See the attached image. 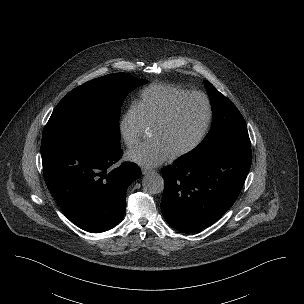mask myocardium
I'll return each instance as SVG.
<instances>
[{
	"label": "myocardium",
	"instance_id": "1",
	"mask_svg": "<svg viewBox=\"0 0 304 304\" xmlns=\"http://www.w3.org/2000/svg\"><path fill=\"white\" fill-rule=\"evenodd\" d=\"M191 98H200L204 101V103L206 105L205 122H204V125H203L199 135L197 136V138L184 149L174 153L172 156L174 159L181 158V157H184V156L192 153L205 140V138L210 130L212 120H213V106H212V102H211L210 98L203 92H199V91L188 92V93L178 97L176 100H174L171 103V105L167 108V110L163 113V115L151 127L152 131H153V130L165 125L166 123H168L170 121V119L173 117V115L175 114V112L177 111V109L179 108V106L183 102H185L186 100L191 99Z\"/></svg>",
	"mask_w": 304,
	"mask_h": 304
}]
</instances>
